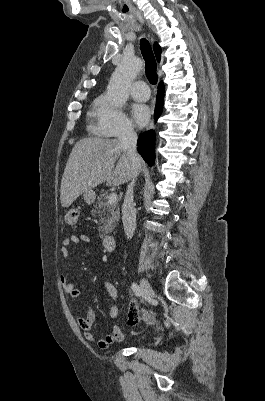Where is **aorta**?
I'll use <instances>...</instances> for the list:
<instances>
[{"mask_svg": "<svg viewBox=\"0 0 265 401\" xmlns=\"http://www.w3.org/2000/svg\"><path fill=\"white\" fill-rule=\"evenodd\" d=\"M142 60H123L115 68L106 88L108 100L112 106H123L129 96V86L142 68Z\"/></svg>", "mask_w": 265, "mask_h": 401, "instance_id": "obj_1", "label": "aorta"}]
</instances>
